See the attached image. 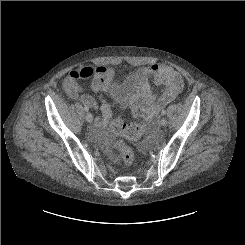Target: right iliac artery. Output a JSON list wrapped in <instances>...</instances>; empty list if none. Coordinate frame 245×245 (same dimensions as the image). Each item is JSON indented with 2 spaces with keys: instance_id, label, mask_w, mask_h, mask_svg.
<instances>
[{
  "instance_id": "1",
  "label": "right iliac artery",
  "mask_w": 245,
  "mask_h": 245,
  "mask_svg": "<svg viewBox=\"0 0 245 245\" xmlns=\"http://www.w3.org/2000/svg\"><path fill=\"white\" fill-rule=\"evenodd\" d=\"M84 110L88 112L89 111V107L87 105H85L84 106Z\"/></svg>"
}]
</instances>
